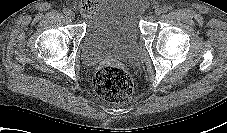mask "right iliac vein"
Here are the masks:
<instances>
[{"label":"right iliac vein","mask_w":227,"mask_h":133,"mask_svg":"<svg viewBox=\"0 0 227 133\" xmlns=\"http://www.w3.org/2000/svg\"><path fill=\"white\" fill-rule=\"evenodd\" d=\"M69 17H70L71 19H74V18H75L74 12H70Z\"/></svg>","instance_id":"right-iliac-vein-1"}]
</instances>
